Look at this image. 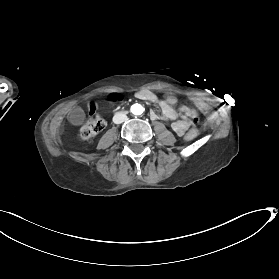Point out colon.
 <instances>
[{"label": "colon", "mask_w": 279, "mask_h": 279, "mask_svg": "<svg viewBox=\"0 0 279 279\" xmlns=\"http://www.w3.org/2000/svg\"><path fill=\"white\" fill-rule=\"evenodd\" d=\"M108 100L111 102L122 100V97L119 94H111L108 97ZM180 116L188 121L193 128L186 134V140L191 141L196 138L198 131L196 129V124L198 122L197 112L183 105L179 109ZM105 126L104 119L99 114H94L79 130L78 136L81 140H88L98 133H100Z\"/></svg>", "instance_id": "5ec220e1"}]
</instances>
